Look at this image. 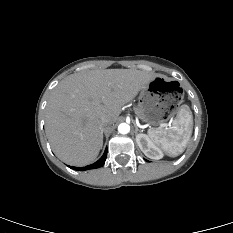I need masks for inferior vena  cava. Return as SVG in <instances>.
Wrapping results in <instances>:
<instances>
[{"instance_id":"obj_1","label":"inferior vena cava","mask_w":233,"mask_h":233,"mask_svg":"<svg viewBox=\"0 0 233 233\" xmlns=\"http://www.w3.org/2000/svg\"><path fill=\"white\" fill-rule=\"evenodd\" d=\"M108 125H109L108 119L102 117V118L100 119V121H99V126L103 129V128H105V127L108 126Z\"/></svg>"}]
</instances>
